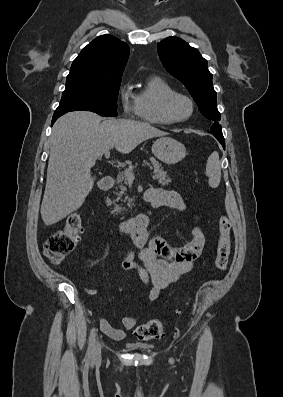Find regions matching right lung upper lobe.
Listing matches in <instances>:
<instances>
[{
	"instance_id": "obj_1",
	"label": "right lung upper lobe",
	"mask_w": 283,
	"mask_h": 397,
	"mask_svg": "<svg viewBox=\"0 0 283 397\" xmlns=\"http://www.w3.org/2000/svg\"><path fill=\"white\" fill-rule=\"evenodd\" d=\"M129 57V47L111 35H101L82 49L69 74L101 79H121Z\"/></svg>"
}]
</instances>
